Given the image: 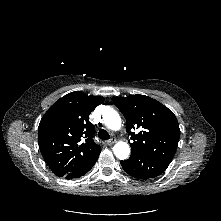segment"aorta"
<instances>
[{
	"label": "aorta",
	"instance_id": "762f6f07",
	"mask_svg": "<svg viewBox=\"0 0 221 221\" xmlns=\"http://www.w3.org/2000/svg\"><path fill=\"white\" fill-rule=\"evenodd\" d=\"M103 121L111 130L117 131L121 128V118L112 108H108L104 111ZM113 152L118 159L125 160L129 157L130 147L126 142L119 141L114 145Z\"/></svg>",
	"mask_w": 221,
	"mask_h": 221
}]
</instances>
